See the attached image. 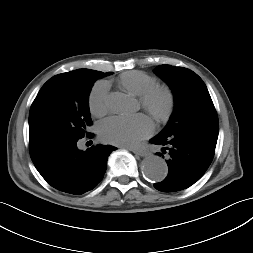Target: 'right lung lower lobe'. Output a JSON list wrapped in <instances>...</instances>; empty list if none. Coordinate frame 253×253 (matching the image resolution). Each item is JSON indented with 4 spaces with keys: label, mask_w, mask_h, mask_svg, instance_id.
Instances as JSON below:
<instances>
[{
    "label": "right lung lower lobe",
    "mask_w": 253,
    "mask_h": 253,
    "mask_svg": "<svg viewBox=\"0 0 253 253\" xmlns=\"http://www.w3.org/2000/svg\"><path fill=\"white\" fill-rule=\"evenodd\" d=\"M116 147L97 145L81 151L77 142L61 147L44 160L34 163L42 177L57 190L81 195L102 180L107 159Z\"/></svg>",
    "instance_id": "obj_1"
}]
</instances>
